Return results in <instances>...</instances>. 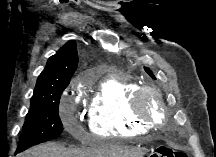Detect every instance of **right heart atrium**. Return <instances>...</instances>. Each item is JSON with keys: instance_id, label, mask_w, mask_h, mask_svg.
I'll return each instance as SVG.
<instances>
[{"instance_id": "obj_1", "label": "right heart atrium", "mask_w": 216, "mask_h": 157, "mask_svg": "<svg viewBox=\"0 0 216 157\" xmlns=\"http://www.w3.org/2000/svg\"><path fill=\"white\" fill-rule=\"evenodd\" d=\"M64 122H65L66 126L68 127V126H70L72 124V118L69 117V116H66L64 118Z\"/></svg>"}]
</instances>
